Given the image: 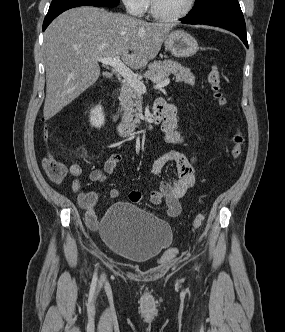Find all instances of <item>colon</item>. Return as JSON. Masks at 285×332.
Returning <instances> with one entry per match:
<instances>
[{"label":"colon","mask_w":285,"mask_h":332,"mask_svg":"<svg viewBox=\"0 0 285 332\" xmlns=\"http://www.w3.org/2000/svg\"><path fill=\"white\" fill-rule=\"evenodd\" d=\"M207 82L214 94V97L218 100V102L221 105L226 104V99L224 97V94L222 92L221 88V77L220 72L217 69V67H212L208 76H207ZM243 143H244V137L241 133V131L238 129L233 134L231 138V150L230 154L233 160H237L240 158L242 154L243 149ZM43 167L48 175V177L55 183H61L67 176V168L66 166L58 161L57 159L48 156L44 158L43 160ZM204 220L203 214H198L194 221H193V228L197 229L201 226L202 222ZM177 255V250L174 247H169L166 249V251L162 255L163 261H168L172 258H174Z\"/></svg>","instance_id":"1"}]
</instances>
